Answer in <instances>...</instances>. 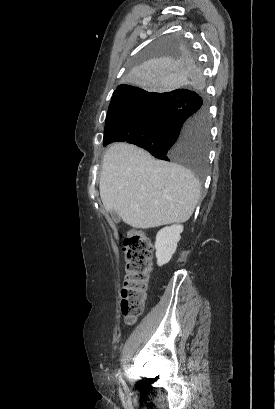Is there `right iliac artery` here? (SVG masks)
<instances>
[{
	"label": "right iliac artery",
	"mask_w": 275,
	"mask_h": 409,
	"mask_svg": "<svg viewBox=\"0 0 275 409\" xmlns=\"http://www.w3.org/2000/svg\"><path fill=\"white\" fill-rule=\"evenodd\" d=\"M120 381L123 383L124 381L122 380V378H120Z\"/></svg>",
	"instance_id": "82829eb1"
}]
</instances>
